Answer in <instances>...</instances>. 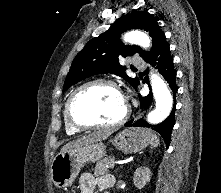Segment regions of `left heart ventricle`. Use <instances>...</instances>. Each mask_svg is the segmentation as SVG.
Listing matches in <instances>:
<instances>
[{"mask_svg": "<svg viewBox=\"0 0 221 193\" xmlns=\"http://www.w3.org/2000/svg\"><path fill=\"white\" fill-rule=\"evenodd\" d=\"M125 108L124 97L118 91L95 85L79 93L73 103L72 113L83 124L108 123L119 119Z\"/></svg>", "mask_w": 221, "mask_h": 193, "instance_id": "1", "label": "left heart ventricle"}]
</instances>
